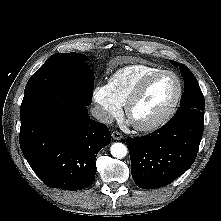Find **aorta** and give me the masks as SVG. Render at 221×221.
Wrapping results in <instances>:
<instances>
[{
  "label": "aorta",
  "instance_id": "762f6f07",
  "mask_svg": "<svg viewBox=\"0 0 221 221\" xmlns=\"http://www.w3.org/2000/svg\"><path fill=\"white\" fill-rule=\"evenodd\" d=\"M111 155L117 159H122L127 155V147L123 143H113L110 147Z\"/></svg>",
  "mask_w": 221,
  "mask_h": 221
}]
</instances>
